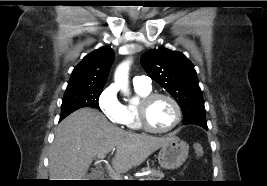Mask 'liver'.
Segmentation results:
<instances>
[{"label": "liver", "mask_w": 267, "mask_h": 186, "mask_svg": "<svg viewBox=\"0 0 267 186\" xmlns=\"http://www.w3.org/2000/svg\"><path fill=\"white\" fill-rule=\"evenodd\" d=\"M171 139L137 134L111 124L96 109L82 108L56 129L49 154L50 180H82L93 159L116 149L113 168L125 173L143 163Z\"/></svg>", "instance_id": "liver-1"}]
</instances>
